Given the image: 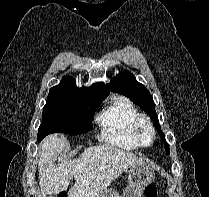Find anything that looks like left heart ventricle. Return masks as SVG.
Segmentation results:
<instances>
[{"mask_svg": "<svg viewBox=\"0 0 209 197\" xmlns=\"http://www.w3.org/2000/svg\"><path fill=\"white\" fill-rule=\"evenodd\" d=\"M143 139L145 142H149L151 140V133L149 130H144Z\"/></svg>", "mask_w": 209, "mask_h": 197, "instance_id": "obj_1", "label": "left heart ventricle"}]
</instances>
